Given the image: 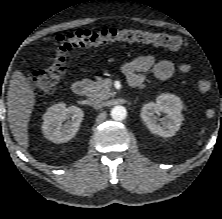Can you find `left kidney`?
<instances>
[{"mask_svg": "<svg viewBox=\"0 0 222 219\" xmlns=\"http://www.w3.org/2000/svg\"><path fill=\"white\" fill-rule=\"evenodd\" d=\"M181 99L170 93H162L156 98V103L149 102L142 107L140 116L147 128L161 137H172L182 124ZM165 113L163 118L157 115Z\"/></svg>", "mask_w": 222, "mask_h": 219, "instance_id": "5707ae66", "label": "left kidney"}]
</instances>
